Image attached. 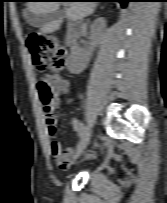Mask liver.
Here are the masks:
<instances>
[{
	"label": "liver",
	"mask_w": 167,
	"mask_h": 203,
	"mask_svg": "<svg viewBox=\"0 0 167 203\" xmlns=\"http://www.w3.org/2000/svg\"><path fill=\"white\" fill-rule=\"evenodd\" d=\"M29 12L35 14H45L57 11L60 2H28L27 4ZM67 17L71 20H81L84 17L92 14L95 10V2H70L67 4ZM62 19L54 21L45 25L40 29L41 34L53 33L60 29Z\"/></svg>",
	"instance_id": "6515ba94"
}]
</instances>
